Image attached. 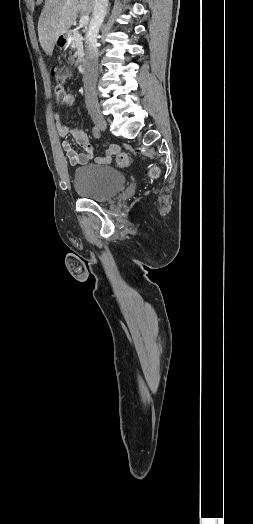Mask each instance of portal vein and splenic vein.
I'll list each match as a JSON object with an SVG mask.
<instances>
[{
	"label": "portal vein and splenic vein",
	"instance_id": "18ae733b",
	"mask_svg": "<svg viewBox=\"0 0 253 524\" xmlns=\"http://www.w3.org/2000/svg\"><path fill=\"white\" fill-rule=\"evenodd\" d=\"M88 22H89V16L88 15H83L80 18L79 24H80V26H84V25H87Z\"/></svg>",
	"mask_w": 253,
	"mask_h": 524
}]
</instances>
